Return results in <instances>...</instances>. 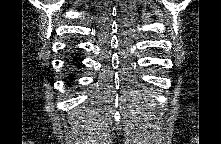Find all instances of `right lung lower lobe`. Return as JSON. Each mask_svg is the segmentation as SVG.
I'll use <instances>...</instances> for the list:
<instances>
[{"instance_id":"right-lung-lower-lobe-1","label":"right lung lower lobe","mask_w":221,"mask_h":144,"mask_svg":"<svg viewBox=\"0 0 221 144\" xmlns=\"http://www.w3.org/2000/svg\"><path fill=\"white\" fill-rule=\"evenodd\" d=\"M78 55H79V54H78ZM74 59H76V58L74 57ZM80 61H81V60H80ZM76 65H77V63H76ZM70 79L72 80V79H73V77L71 76V77H70Z\"/></svg>"}]
</instances>
